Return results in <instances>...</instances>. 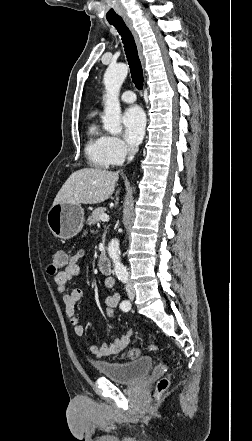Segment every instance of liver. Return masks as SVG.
I'll list each match as a JSON object with an SVG mask.
<instances>
[{
    "label": "liver",
    "instance_id": "obj_1",
    "mask_svg": "<svg viewBox=\"0 0 252 441\" xmlns=\"http://www.w3.org/2000/svg\"><path fill=\"white\" fill-rule=\"evenodd\" d=\"M117 172L99 168H83L73 172L57 193L54 203L98 204L115 190Z\"/></svg>",
    "mask_w": 252,
    "mask_h": 441
}]
</instances>
